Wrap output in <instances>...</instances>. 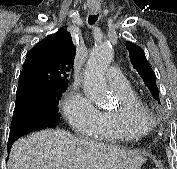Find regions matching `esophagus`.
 Instances as JSON below:
<instances>
[{
    "mask_svg": "<svg viewBox=\"0 0 177 169\" xmlns=\"http://www.w3.org/2000/svg\"><path fill=\"white\" fill-rule=\"evenodd\" d=\"M98 10H99V5L90 7V12L92 14H96L98 12Z\"/></svg>",
    "mask_w": 177,
    "mask_h": 169,
    "instance_id": "34e87169",
    "label": "esophagus"
}]
</instances>
